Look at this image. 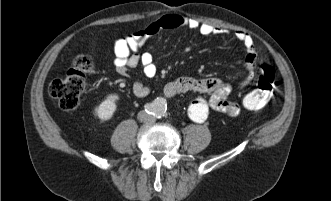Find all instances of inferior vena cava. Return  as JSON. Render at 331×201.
<instances>
[{
	"label": "inferior vena cava",
	"mask_w": 331,
	"mask_h": 201,
	"mask_svg": "<svg viewBox=\"0 0 331 201\" xmlns=\"http://www.w3.org/2000/svg\"><path fill=\"white\" fill-rule=\"evenodd\" d=\"M138 120L141 122H153L155 118L145 111H140L138 113Z\"/></svg>",
	"instance_id": "1"
}]
</instances>
